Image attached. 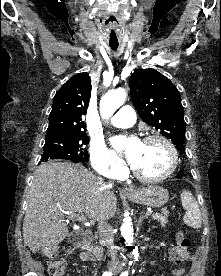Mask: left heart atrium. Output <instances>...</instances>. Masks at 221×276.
<instances>
[{"label": "left heart atrium", "instance_id": "obj_1", "mask_svg": "<svg viewBox=\"0 0 221 276\" xmlns=\"http://www.w3.org/2000/svg\"><path fill=\"white\" fill-rule=\"evenodd\" d=\"M114 142L119 147L122 145V142L120 139H116ZM140 148H141V142L137 139L132 140V142L128 146L126 154H127L128 160L131 163H135V161L137 160L139 152H140Z\"/></svg>", "mask_w": 221, "mask_h": 276}]
</instances>
